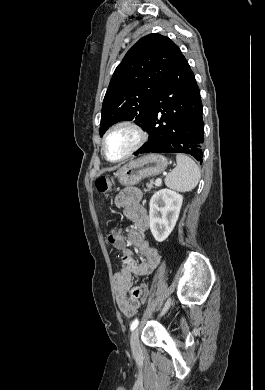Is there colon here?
Returning a JSON list of instances; mask_svg holds the SVG:
<instances>
[{
    "mask_svg": "<svg viewBox=\"0 0 265 390\" xmlns=\"http://www.w3.org/2000/svg\"><path fill=\"white\" fill-rule=\"evenodd\" d=\"M95 187L98 192L106 193L110 190L111 180L107 177L101 176L96 179ZM107 239L111 244H116L118 240V231L116 229H110L107 233ZM141 302H146L148 297V288L144 285L139 292Z\"/></svg>",
    "mask_w": 265,
    "mask_h": 390,
    "instance_id": "1",
    "label": "colon"
}]
</instances>
